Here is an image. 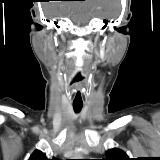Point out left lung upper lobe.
Wrapping results in <instances>:
<instances>
[{
  "label": "left lung upper lobe",
  "instance_id": "5c2ea615",
  "mask_svg": "<svg viewBox=\"0 0 160 160\" xmlns=\"http://www.w3.org/2000/svg\"><path fill=\"white\" fill-rule=\"evenodd\" d=\"M106 155L107 158H102V160H130L128 155L118 148L109 149Z\"/></svg>",
  "mask_w": 160,
  "mask_h": 160
}]
</instances>
